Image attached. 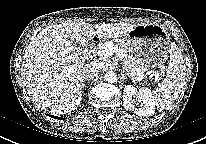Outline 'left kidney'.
Listing matches in <instances>:
<instances>
[{"label":"left kidney","instance_id":"1","mask_svg":"<svg viewBox=\"0 0 206 144\" xmlns=\"http://www.w3.org/2000/svg\"><path fill=\"white\" fill-rule=\"evenodd\" d=\"M134 98L141 103L139 108L135 107ZM123 105L126 110L134 111L138 116H152L155 111V102L148 88L137 90L132 85H126L123 90Z\"/></svg>","mask_w":206,"mask_h":144}]
</instances>
